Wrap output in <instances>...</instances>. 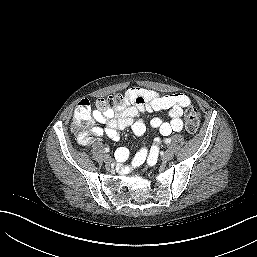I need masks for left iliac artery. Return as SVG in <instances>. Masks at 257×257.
I'll return each mask as SVG.
<instances>
[{
  "instance_id": "1",
  "label": "left iliac artery",
  "mask_w": 257,
  "mask_h": 257,
  "mask_svg": "<svg viewBox=\"0 0 257 257\" xmlns=\"http://www.w3.org/2000/svg\"><path fill=\"white\" fill-rule=\"evenodd\" d=\"M164 142H165V144H169V143L171 142V139H170V138H166V139L164 140Z\"/></svg>"
}]
</instances>
